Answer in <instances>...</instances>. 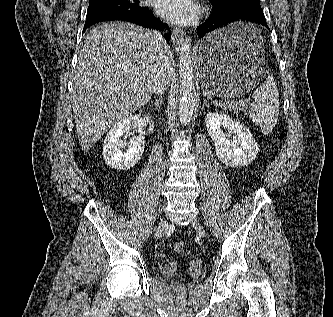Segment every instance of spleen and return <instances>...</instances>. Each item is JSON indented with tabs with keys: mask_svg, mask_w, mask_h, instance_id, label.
<instances>
[{
	"mask_svg": "<svg viewBox=\"0 0 333 317\" xmlns=\"http://www.w3.org/2000/svg\"><path fill=\"white\" fill-rule=\"evenodd\" d=\"M256 30L258 31L257 28ZM252 97L254 103L248 111L249 116L262 133L268 135L274 129L279 116V93L273 75L266 76Z\"/></svg>",
	"mask_w": 333,
	"mask_h": 317,
	"instance_id": "3e777b00",
	"label": "spleen"
}]
</instances>
